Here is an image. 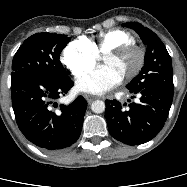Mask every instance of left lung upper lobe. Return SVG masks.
I'll return each mask as SVG.
<instances>
[{
    "label": "left lung upper lobe",
    "mask_w": 187,
    "mask_h": 187,
    "mask_svg": "<svg viewBox=\"0 0 187 187\" xmlns=\"http://www.w3.org/2000/svg\"><path fill=\"white\" fill-rule=\"evenodd\" d=\"M124 27L135 30L147 46L141 72L127 84L130 91L146 88L174 89L171 57L160 38L139 23L128 22Z\"/></svg>",
    "instance_id": "5c2ea615"
}]
</instances>
